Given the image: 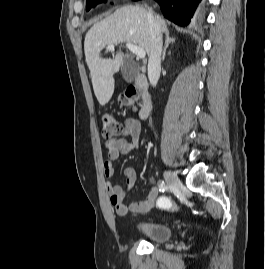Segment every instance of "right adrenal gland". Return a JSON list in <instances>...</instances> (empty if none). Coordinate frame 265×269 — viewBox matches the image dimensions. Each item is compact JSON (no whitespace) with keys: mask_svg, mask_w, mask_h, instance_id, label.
I'll return each instance as SVG.
<instances>
[{"mask_svg":"<svg viewBox=\"0 0 265 269\" xmlns=\"http://www.w3.org/2000/svg\"><path fill=\"white\" fill-rule=\"evenodd\" d=\"M174 42H175V38L170 37L169 31H166L165 32V46H164L163 53H162V61H164V59H165L166 50H167L168 46Z\"/></svg>","mask_w":265,"mask_h":269,"instance_id":"1","label":"right adrenal gland"}]
</instances>
